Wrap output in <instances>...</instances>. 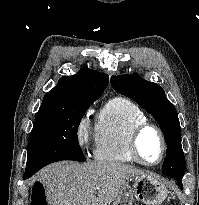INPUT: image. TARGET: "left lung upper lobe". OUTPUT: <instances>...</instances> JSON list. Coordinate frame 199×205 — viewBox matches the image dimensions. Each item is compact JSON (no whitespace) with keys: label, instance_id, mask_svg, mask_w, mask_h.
I'll list each match as a JSON object with an SVG mask.
<instances>
[{"label":"left lung upper lobe","instance_id":"left-lung-upper-lobe-1","mask_svg":"<svg viewBox=\"0 0 199 205\" xmlns=\"http://www.w3.org/2000/svg\"><path fill=\"white\" fill-rule=\"evenodd\" d=\"M111 85L118 93L135 101L157 121L167 145L162 173L182 184L186 163L181 146V128L177 111L167 99L164 90L156 83L132 75L112 76Z\"/></svg>","mask_w":199,"mask_h":205}]
</instances>
